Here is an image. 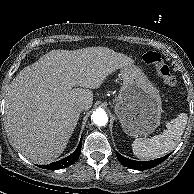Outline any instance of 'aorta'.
I'll use <instances>...</instances> for the list:
<instances>
[{"instance_id":"aorta-1","label":"aorta","mask_w":194,"mask_h":194,"mask_svg":"<svg viewBox=\"0 0 194 194\" xmlns=\"http://www.w3.org/2000/svg\"><path fill=\"white\" fill-rule=\"evenodd\" d=\"M91 119L97 126H104L108 122V116L103 109H97L93 112Z\"/></svg>"}]
</instances>
